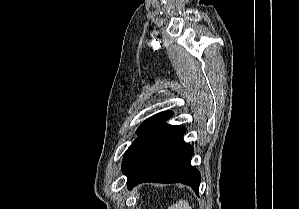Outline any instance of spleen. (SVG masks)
<instances>
[{
    "mask_svg": "<svg viewBox=\"0 0 299 209\" xmlns=\"http://www.w3.org/2000/svg\"><path fill=\"white\" fill-rule=\"evenodd\" d=\"M168 209H192L187 200H179L176 204L171 205Z\"/></svg>",
    "mask_w": 299,
    "mask_h": 209,
    "instance_id": "obj_1",
    "label": "spleen"
}]
</instances>
